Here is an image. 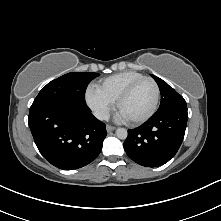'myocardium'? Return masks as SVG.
Masks as SVG:
<instances>
[{
  "label": "myocardium",
  "instance_id": "1",
  "mask_svg": "<svg viewBox=\"0 0 221 221\" xmlns=\"http://www.w3.org/2000/svg\"><path fill=\"white\" fill-rule=\"evenodd\" d=\"M150 81L155 88V98H154V102L153 105L151 107V109L142 117L137 118V119H133V120H128L129 123L133 124V125H138V124H142L144 122H146L147 120H149L157 111L158 108V104H159V100H160V88L158 83L151 77L148 76H143L139 79H136L135 81H133L132 83H130L125 90L120 94V96L118 97L117 101H116V106L117 109L120 110L121 105L123 104V102L131 95V93L133 92V90L135 89V87L143 82V81Z\"/></svg>",
  "mask_w": 221,
  "mask_h": 221
}]
</instances>
